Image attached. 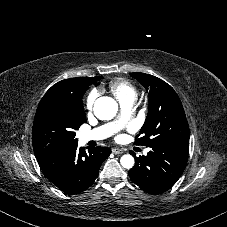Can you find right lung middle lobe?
I'll return each mask as SVG.
<instances>
[{
    "mask_svg": "<svg viewBox=\"0 0 227 227\" xmlns=\"http://www.w3.org/2000/svg\"><path fill=\"white\" fill-rule=\"evenodd\" d=\"M102 79L94 77L90 84ZM86 122L82 105L66 101H41L36 110L32 142L37 159L77 145L75 130Z\"/></svg>",
    "mask_w": 227,
    "mask_h": 227,
    "instance_id": "1",
    "label": "right lung middle lobe"
}]
</instances>
